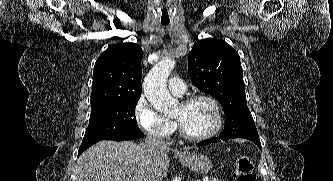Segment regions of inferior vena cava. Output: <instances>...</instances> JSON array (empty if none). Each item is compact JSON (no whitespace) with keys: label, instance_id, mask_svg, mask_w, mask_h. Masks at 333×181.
<instances>
[{"label":"inferior vena cava","instance_id":"602c4592","mask_svg":"<svg viewBox=\"0 0 333 181\" xmlns=\"http://www.w3.org/2000/svg\"><path fill=\"white\" fill-rule=\"evenodd\" d=\"M145 146L153 155H157L160 151L168 148V143L162 137H159L154 134H149L145 138ZM149 180L162 181L161 177H159V175L156 172L154 173V175H152V178Z\"/></svg>","mask_w":333,"mask_h":181}]
</instances>
